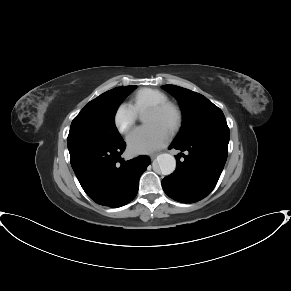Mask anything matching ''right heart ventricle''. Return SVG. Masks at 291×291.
<instances>
[{"mask_svg": "<svg viewBox=\"0 0 291 291\" xmlns=\"http://www.w3.org/2000/svg\"><path fill=\"white\" fill-rule=\"evenodd\" d=\"M167 101V96L158 89H139L131 98V106L137 113L145 112L146 108Z\"/></svg>", "mask_w": 291, "mask_h": 291, "instance_id": "right-heart-ventricle-1", "label": "right heart ventricle"}]
</instances>
